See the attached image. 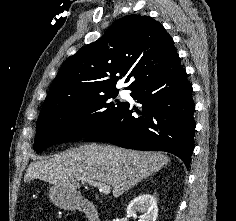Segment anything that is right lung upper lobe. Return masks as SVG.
Instances as JSON below:
<instances>
[{
    "label": "right lung upper lobe",
    "mask_w": 236,
    "mask_h": 221,
    "mask_svg": "<svg viewBox=\"0 0 236 221\" xmlns=\"http://www.w3.org/2000/svg\"><path fill=\"white\" fill-rule=\"evenodd\" d=\"M177 55L165 28L149 16L128 15L115 21L97 41L66 59L43 103L55 108L91 95L117 91L125 75L138 81L167 66Z\"/></svg>",
    "instance_id": "right-lung-upper-lobe-1"
}]
</instances>
